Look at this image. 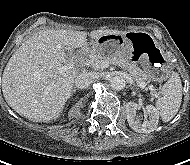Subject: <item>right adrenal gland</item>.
I'll list each match as a JSON object with an SVG mask.
<instances>
[{
  "instance_id": "2a0ac1e0",
  "label": "right adrenal gland",
  "mask_w": 190,
  "mask_h": 165,
  "mask_svg": "<svg viewBox=\"0 0 190 165\" xmlns=\"http://www.w3.org/2000/svg\"><path fill=\"white\" fill-rule=\"evenodd\" d=\"M76 90H77V88L74 87L71 94L73 95Z\"/></svg>"
}]
</instances>
